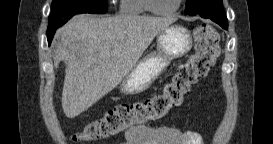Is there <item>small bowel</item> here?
Returning a JSON list of instances; mask_svg holds the SVG:
<instances>
[{"label":"small bowel","mask_w":273,"mask_h":144,"mask_svg":"<svg viewBox=\"0 0 273 144\" xmlns=\"http://www.w3.org/2000/svg\"><path fill=\"white\" fill-rule=\"evenodd\" d=\"M199 133L175 127H135L124 133L118 144H202Z\"/></svg>","instance_id":"c3829d8e"}]
</instances>
